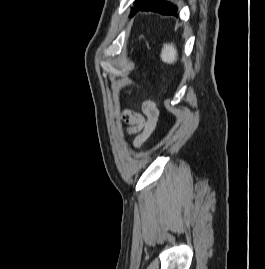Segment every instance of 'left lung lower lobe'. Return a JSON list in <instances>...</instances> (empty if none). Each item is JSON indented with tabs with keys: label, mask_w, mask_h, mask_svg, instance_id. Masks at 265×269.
<instances>
[{
	"label": "left lung lower lobe",
	"mask_w": 265,
	"mask_h": 269,
	"mask_svg": "<svg viewBox=\"0 0 265 269\" xmlns=\"http://www.w3.org/2000/svg\"><path fill=\"white\" fill-rule=\"evenodd\" d=\"M138 10L153 11L163 15H177V8L165 0H146L140 7L133 11L131 16Z\"/></svg>",
	"instance_id": "obj_1"
}]
</instances>
